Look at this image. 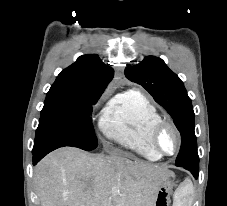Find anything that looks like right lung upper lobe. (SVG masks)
Wrapping results in <instances>:
<instances>
[{
	"mask_svg": "<svg viewBox=\"0 0 227 206\" xmlns=\"http://www.w3.org/2000/svg\"><path fill=\"white\" fill-rule=\"evenodd\" d=\"M113 76L98 55H83L57 76L50 90L101 96Z\"/></svg>",
	"mask_w": 227,
	"mask_h": 206,
	"instance_id": "1",
	"label": "right lung upper lobe"
}]
</instances>
